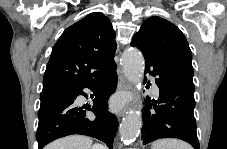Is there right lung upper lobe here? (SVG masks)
Segmentation results:
<instances>
[{"instance_id":"cb5924a9","label":"right lung upper lobe","mask_w":227,"mask_h":149,"mask_svg":"<svg viewBox=\"0 0 227 149\" xmlns=\"http://www.w3.org/2000/svg\"><path fill=\"white\" fill-rule=\"evenodd\" d=\"M117 43L110 20L91 13L68 27L52 49L43 89L75 86L114 62Z\"/></svg>"}]
</instances>
